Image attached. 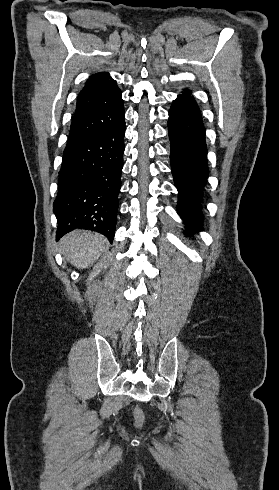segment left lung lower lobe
<instances>
[{
	"label": "left lung lower lobe",
	"mask_w": 279,
	"mask_h": 490,
	"mask_svg": "<svg viewBox=\"0 0 279 490\" xmlns=\"http://www.w3.org/2000/svg\"><path fill=\"white\" fill-rule=\"evenodd\" d=\"M170 163L178 194V214L186 235L202 231L201 201L209 171L205 129L196 102L178 97L169 110Z\"/></svg>",
	"instance_id": "0a47b994"
}]
</instances>
